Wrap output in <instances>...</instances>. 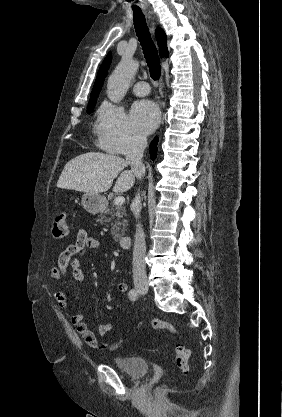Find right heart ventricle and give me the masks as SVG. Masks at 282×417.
<instances>
[{
  "mask_svg": "<svg viewBox=\"0 0 282 417\" xmlns=\"http://www.w3.org/2000/svg\"><path fill=\"white\" fill-rule=\"evenodd\" d=\"M103 112H104V109H101V110L99 111V116H100V118H101V116L103 115Z\"/></svg>",
  "mask_w": 282,
  "mask_h": 417,
  "instance_id": "obj_1",
  "label": "right heart ventricle"
}]
</instances>
